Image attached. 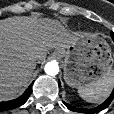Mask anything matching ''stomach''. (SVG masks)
Masks as SVG:
<instances>
[{
  "instance_id": "stomach-1",
  "label": "stomach",
  "mask_w": 114,
  "mask_h": 114,
  "mask_svg": "<svg viewBox=\"0 0 114 114\" xmlns=\"http://www.w3.org/2000/svg\"><path fill=\"white\" fill-rule=\"evenodd\" d=\"M62 60L66 83L79 88L111 73L114 56L109 44L97 35L83 34L66 48L54 52Z\"/></svg>"
}]
</instances>
